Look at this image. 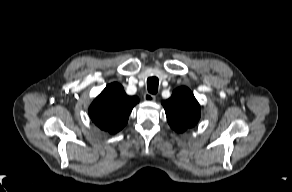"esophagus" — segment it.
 I'll return each mask as SVG.
<instances>
[{
  "mask_svg": "<svg viewBox=\"0 0 292 192\" xmlns=\"http://www.w3.org/2000/svg\"><path fill=\"white\" fill-rule=\"evenodd\" d=\"M144 99H145L146 101H150V102H152V101H155V100H156V96H155V95H152V94H150V93H145V94H144Z\"/></svg>",
  "mask_w": 292,
  "mask_h": 192,
  "instance_id": "obj_1",
  "label": "esophagus"
}]
</instances>
